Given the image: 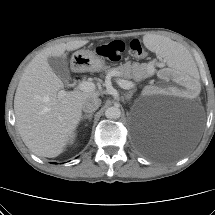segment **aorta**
<instances>
[{"mask_svg": "<svg viewBox=\"0 0 215 215\" xmlns=\"http://www.w3.org/2000/svg\"><path fill=\"white\" fill-rule=\"evenodd\" d=\"M105 116L108 119H118L121 116V110L117 106L108 107L105 110Z\"/></svg>", "mask_w": 215, "mask_h": 215, "instance_id": "762f6f07", "label": "aorta"}]
</instances>
